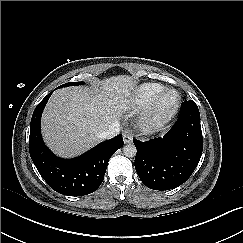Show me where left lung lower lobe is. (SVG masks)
<instances>
[{
	"mask_svg": "<svg viewBox=\"0 0 243 243\" xmlns=\"http://www.w3.org/2000/svg\"><path fill=\"white\" fill-rule=\"evenodd\" d=\"M137 148L135 169L143 184L170 190L186 182L202 155L203 138L197 106H183L178 120L161 138L133 139Z\"/></svg>",
	"mask_w": 243,
	"mask_h": 243,
	"instance_id": "1",
	"label": "left lung lower lobe"
}]
</instances>
